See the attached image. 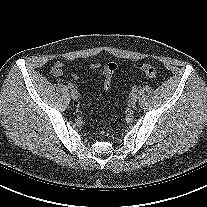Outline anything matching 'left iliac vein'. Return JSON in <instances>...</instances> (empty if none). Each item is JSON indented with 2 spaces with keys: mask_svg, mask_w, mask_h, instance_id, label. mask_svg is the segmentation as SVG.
Masks as SVG:
<instances>
[{
  "mask_svg": "<svg viewBox=\"0 0 207 207\" xmlns=\"http://www.w3.org/2000/svg\"><path fill=\"white\" fill-rule=\"evenodd\" d=\"M137 99H138L137 94L136 93H131L130 97H129V100H128L129 105H132V106L135 105L136 102H137Z\"/></svg>",
  "mask_w": 207,
  "mask_h": 207,
  "instance_id": "1",
  "label": "left iliac vein"
}]
</instances>
